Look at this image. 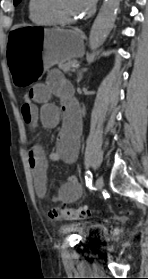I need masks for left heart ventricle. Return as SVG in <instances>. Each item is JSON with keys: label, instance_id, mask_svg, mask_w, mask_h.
Wrapping results in <instances>:
<instances>
[{"label": "left heart ventricle", "instance_id": "b2bd125f", "mask_svg": "<svg viewBox=\"0 0 148 279\" xmlns=\"http://www.w3.org/2000/svg\"><path fill=\"white\" fill-rule=\"evenodd\" d=\"M50 5L65 18L80 17L82 15L78 0H50Z\"/></svg>", "mask_w": 148, "mask_h": 279}]
</instances>
